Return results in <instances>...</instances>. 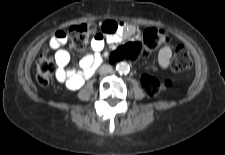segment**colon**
Returning a JSON list of instances; mask_svg holds the SVG:
<instances>
[{"label": "colon", "mask_w": 225, "mask_h": 155, "mask_svg": "<svg viewBox=\"0 0 225 155\" xmlns=\"http://www.w3.org/2000/svg\"><path fill=\"white\" fill-rule=\"evenodd\" d=\"M70 33V44L74 50L82 51L86 48L90 38L95 36L96 26L93 23H81L67 29ZM170 40L169 35L160 29L148 28L142 34V41L129 42L112 52L109 63L113 67L121 65L122 61L131 62L134 58L148 57L161 44ZM191 66V57L183 45L176 47L171 67L175 72L187 70ZM55 65L46 49L36 60V80L41 86H48L54 77ZM142 87L148 96H156L160 92L169 90L172 82H160L150 75L142 76Z\"/></svg>", "instance_id": "colon-1"}]
</instances>
